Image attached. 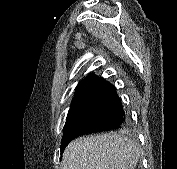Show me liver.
<instances>
[{
  "label": "liver",
  "mask_w": 177,
  "mask_h": 169,
  "mask_svg": "<svg viewBox=\"0 0 177 169\" xmlns=\"http://www.w3.org/2000/svg\"><path fill=\"white\" fill-rule=\"evenodd\" d=\"M137 143L117 134H100L72 141L62 156V169H134Z\"/></svg>",
  "instance_id": "1"
}]
</instances>
